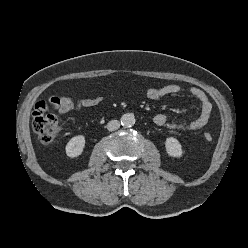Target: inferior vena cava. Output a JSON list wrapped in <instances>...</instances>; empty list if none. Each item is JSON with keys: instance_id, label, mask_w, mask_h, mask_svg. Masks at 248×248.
Returning <instances> with one entry per match:
<instances>
[{"instance_id": "obj_1", "label": "inferior vena cava", "mask_w": 248, "mask_h": 248, "mask_svg": "<svg viewBox=\"0 0 248 248\" xmlns=\"http://www.w3.org/2000/svg\"><path fill=\"white\" fill-rule=\"evenodd\" d=\"M119 127H120V122L118 120H111L107 124L108 131H115L119 129Z\"/></svg>"}]
</instances>
